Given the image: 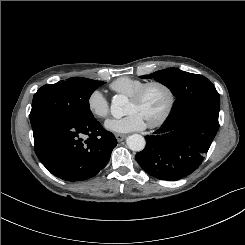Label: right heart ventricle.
Here are the masks:
<instances>
[{
	"mask_svg": "<svg viewBox=\"0 0 245 245\" xmlns=\"http://www.w3.org/2000/svg\"><path fill=\"white\" fill-rule=\"evenodd\" d=\"M143 84H145V81H143V80L133 78V77L124 76V77H120V78L114 80L110 84V89L117 94L130 96L137 89H139Z\"/></svg>",
	"mask_w": 245,
	"mask_h": 245,
	"instance_id": "e07e8e85",
	"label": "right heart ventricle"
}]
</instances>
